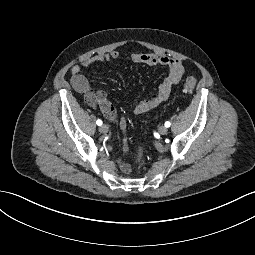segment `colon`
I'll list each match as a JSON object with an SVG mask.
<instances>
[{"instance_id": "5ec220e1", "label": "colon", "mask_w": 255, "mask_h": 255, "mask_svg": "<svg viewBox=\"0 0 255 255\" xmlns=\"http://www.w3.org/2000/svg\"><path fill=\"white\" fill-rule=\"evenodd\" d=\"M195 86H196V79L194 77H188L183 83V89L185 92H188V93L192 92L194 90ZM143 153H144V151H143V149H141L138 154L139 161L142 160Z\"/></svg>"}]
</instances>
